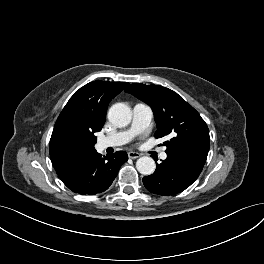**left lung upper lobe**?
Returning <instances> with one entry per match:
<instances>
[{
  "label": "left lung upper lobe",
  "instance_id": "1",
  "mask_svg": "<svg viewBox=\"0 0 264 264\" xmlns=\"http://www.w3.org/2000/svg\"><path fill=\"white\" fill-rule=\"evenodd\" d=\"M149 104L157 124L156 138L168 136L166 153L185 150L204 159L209 151V130L199 113L176 92L160 85L131 84L126 90Z\"/></svg>",
  "mask_w": 264,
  "mask_h": 264
}]
</instances>
